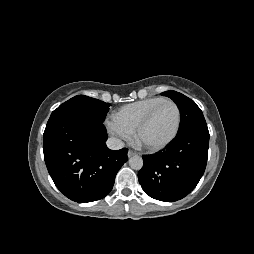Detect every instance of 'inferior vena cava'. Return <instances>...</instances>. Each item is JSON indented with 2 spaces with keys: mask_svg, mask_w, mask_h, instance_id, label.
Segmentation results:
<instances>
[{
  "mask_svg": "<svg viewBox=\"0 0 254 254\" xmlns=\"http://www.w3.org/2000/svg\"><path fill=\"white\" fill-rule=\"evenodd\" d=\"M107 147L112 150H119L124 147V143L118 138H109L106 141Z\"/></svg>",
  "mask_w": 254,
  "mask_h": 254,
  "instance_id": "obj_1",
  "label": "inferior vena cava"
}]
</instances>
